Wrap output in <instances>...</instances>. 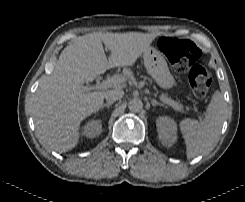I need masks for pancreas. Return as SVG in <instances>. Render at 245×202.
Here are the masks:
<instances>
[{"instance_id": "pancreas-1", "label": "pancreas", "mask_w": 245, "mask_h": 202, "mask_svg": "<svg viewBox=\"0 0 245 202\" xmlns=\"http://www.w3.org/2000/svg\"><path fill=\"white\" fill-rule=\"evenodd\" d=\"M146 80H149L147 77H145ZM176 103V108H179V109H182L183 106L181 104H179L178 102H175ZM188 109V107H186Z\"/></svg>"}]
</instances>
